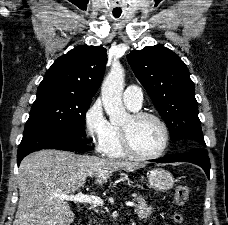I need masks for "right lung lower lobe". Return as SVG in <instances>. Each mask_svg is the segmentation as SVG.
<instances>
[{
  "label": "right lung lower lobe",
  "instance_id": "obj_1",
  "mask_svg": "<svg viewBox=\"0 0 228 225\" xmlns=\"http://www.w3.org/2000/svg\"><path fill=\"white\" fill-rule=\"evenodd\" d=\"M41 149L87 151L83 137L59 128L40 127L24 131L18 147L17 164L28 154Z\"/></svg>",
  "mask_w": 228,
  "mask_h": 225
}]
</instances>
